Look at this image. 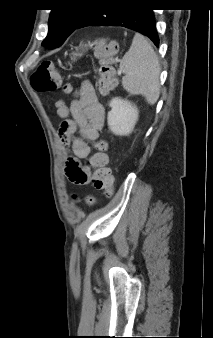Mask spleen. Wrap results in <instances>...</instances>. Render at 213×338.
<instances>
[{
    "mask_svg": "<svg viewBox=\"0 0 213 338\" xmlns=\"http://www.w3.org/2000/svg\"><path fill=\"white\" fill-rule=\"evenodd\" d=\"M120 69L125 74L122 86L130 95H142L150 105L156 103L160 95V65L152 45L143 35H134Z\"/></svg>",
    "mask_w": 213,
    "mask_h": 338,
    "instance_id": "1",
    "label": "spleen"
}]
</instances>
